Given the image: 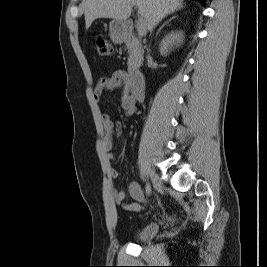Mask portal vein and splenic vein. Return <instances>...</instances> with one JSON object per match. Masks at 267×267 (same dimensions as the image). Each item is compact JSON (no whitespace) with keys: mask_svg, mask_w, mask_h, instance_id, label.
Listing matches in <instances>:
<instances>
[{"mask_svg":"<svg viewBox=\"0 0 267 267\" xmlns=\"http://www.w3.org/2000/svg\"><path fill=\"white\" fill-rule=\"evenodd\" d=\"M137 31L140 36H143L146 32V23L143 17H139L138 19Z\"/></svg>","mask_w":267,"mask_h":267,"instance_id":"portal-vein-and-splenic-vein-1","label":"portal vein and splenic vein"}]
</instances>
